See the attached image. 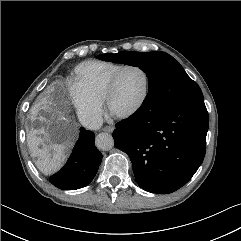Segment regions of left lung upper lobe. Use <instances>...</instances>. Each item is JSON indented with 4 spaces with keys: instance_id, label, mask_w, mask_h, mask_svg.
Segmentation results:
<instances>
[{
    "instance_id": "left-lung-upper-lobe-1",
    "label": "left lung upper lobe",
    "mask_w": 241,
    "mask_h": 241,
    "mask_svg": "<svg viewBox=\"0 0 241 241\" xmlns=\"http://www.w3.org/2000/svg\"><path fill=\"white\" fill-rule=\"evenodd\" d=\"M99 59L138 66L149 78V91L161 88L170 102L203 98L198 84L184 71L182 66L165 52L123 51L117 54H102Z\"/></svg>"
}]
</instances>
